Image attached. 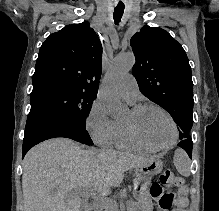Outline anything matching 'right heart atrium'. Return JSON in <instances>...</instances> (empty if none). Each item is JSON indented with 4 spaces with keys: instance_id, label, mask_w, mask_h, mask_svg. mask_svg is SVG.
I'll return each instance as SVG.
<instances>
[{
    "instance_id": "d8ad5b80",
    "label": "right heart atrium",
    "mask_w": 219,
    "mask_h": 211,
    "mask_svg": "<svg viewBox=\"0 0 219 211\" xmlns=\"http://www.w3.org/2000/svg\"><path fill=\"white\" fill-rule=\"evenodd\" d=\"M85 123L93 140L98 145L110 146L113 144L117 123L100 101H93L86 116Z\"/></svg>"
}]
</instances>
